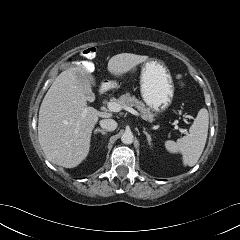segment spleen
<instances>
[{
    "mask_svg": "<svg viewBox=\"0 0 240 240\" xmlns=\"http://www.w3.org/2000/svg\"><path fill=\"white\" fill-rule=\"evenodd\" d=\"M209 114L207 109L202 108L189 129V134L177 140L165 142V148L170 153H181L185 166H194L206 144L208 135Z\"/></svg>",
    "mask_w": 240,
    "mask_h": 240,
    "instance_id": "spleen-1",
    "label": "spleen"
}]
</instances>
